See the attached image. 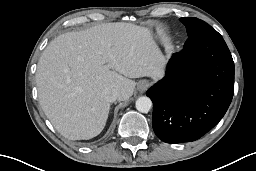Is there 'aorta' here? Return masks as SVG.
I'll use <instances>...</instances> for the list:
<instances>
[{
    "label": "aorta",
    "mask_w": 256,
    "mask_h": 171,
    "mask_svg": "<svg viewBox=\"0 0 256 171\" xmlns=\"http://www.w3.org/2000/svg\"><path fill=\"white\" fill-rule=\"evenodd\" d=\"M136 109L141 113H148L152 107V101L147 96L139 97L135 103Z\"/></svg>",
    "instance_id": "762f6f07"
}]
</instances>
